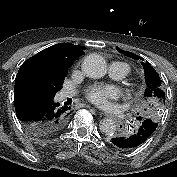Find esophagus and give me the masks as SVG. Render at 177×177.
Masks as SVG:
<instances>
[{
	"mask_svg": "<svg viewBox=\"0 0 177 177\" xmlns=\"http://www.w3.org/2000/svg\"><path fill=\"white\" fill-rule=\"evenodd\" d=\"M101 115H104V116H108V114L104 113V112H100Z\"/></svg>",
	"mask_w": 177,
	"mask_h": 177,
	"instance_id": "esophagus-1",
	"label": "esophagus"
}]
</instances>
